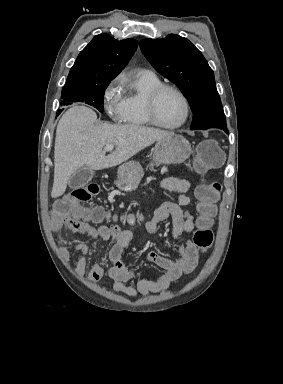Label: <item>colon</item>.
<instances>
[{
	"label": "colon",
	"mask_w": 283,
	"mask_h": 384,
	"mask_svg": "<svg viewBox=\"0 0 283 384\" xmlns=\"http://www.w3.org/2000/svg\"><path fill=\"white\" fill-rule=\"evenodd\" d=\"M223 154L213 140L201 142L196 150V167L201 172L215 169L221 165ZM222 186L213 181L200 184L195 190L197 199V228L193 234V243L201 251H206L213 242L212 225L217 214V202L220 198ZM99 191L96 184H89L76 188L55 204V210L60 215L74 218H88L94 222L105 219L101 209L85 210L83 203L92 199Z\"/></svg>",
	"instance_id": "colon-1"
}]
</instances>
